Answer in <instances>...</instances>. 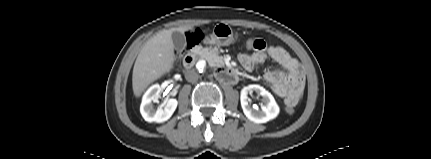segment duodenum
<instances>
[{
  "label": "duodenum",
  "mask_w": 431,
  "mask_h": 159,
  "mask_svg": "<svg viewBox=\"0 0 431 159\" xmlns=\"http://www.w3.org/2000/svg\"><path fill=\"white\" fill-rule=\"evenodd\" d=\"M195 61H196V53L192 51L185 55L183 64L185 68H191L195 64ZM217 75L222 82L227 84L235 83L238 79L237 72L234 69L229 67L219 68Z\"/></svg>",
  "instance_id": "410a0bca"
}]
</instances>
